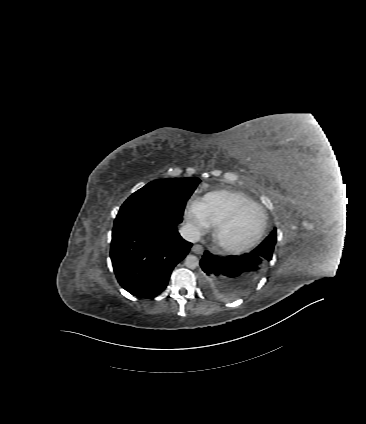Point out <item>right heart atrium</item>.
Segmentation results:
<instances>
[{
    "label": "right heart atrium",
    "instance_id": "1",
    "mask_svg": "<svg viewBox=\"0 0 366 424\" xmlns=\"http://www.w3.org/2000/svg\"><path fill=\"white\" fill-rule=\"evenodd\" d=\"M185 219L194 234L201 235L206 231L209 225L203 215L202 200L193 199L188 204Z\"/></svg>",
    "mask_w": 366,
    "mask_h": 424
}]
</instances>
